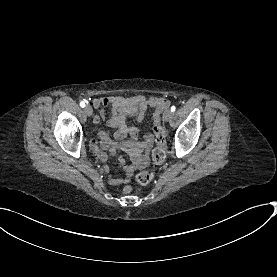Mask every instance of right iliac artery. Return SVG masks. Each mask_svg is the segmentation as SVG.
I'll list each match as a JSON object with an SVG mask.
<instances>
[{"mask_svg": "<svg viewBox=\"0 0 277 277\" xmlns=\"http://www.w3.org/2000/svg\"><path fill=\"white\" fill-rule=\"evenodd\" d=\"M80 106H81L82 108H84V107H85V102H84V101H81V102H80Z\"/></svg>", "mask_w": 277, "mask_h": 277, "instance_id": "82829eb1", "label": "right iliac artery"}]
</instances>
